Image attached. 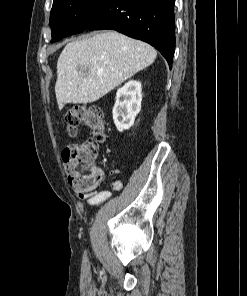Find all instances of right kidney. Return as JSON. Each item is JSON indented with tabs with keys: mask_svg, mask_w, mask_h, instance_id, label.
Wrapping results in <instances>:
<instances>
[{
	"mask_svg": "<svg viewBox=\"0 0 247 296\" xmlns=\"http://www.w3.org/2000/svg\"><path fill=\"white\" fill-rule=\"evenodd\" d=\"M141 101V83L139 81H128L118 89L112 111L118 131L122 132L133 126L135 117L141 110Z\"/></svg>",
	"mask_w": 247,
	"mask_h": 296,
	"instance_id": "1",
	"label": "right kidney"
}]
</instances>
